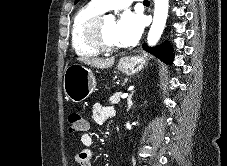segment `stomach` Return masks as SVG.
<instances>
[{"instance_id": "1", "label": "stomach", "mask_w": 227, "mask_h": 166, "mask_svg": "<svg viewBox=\"0 0 227 166\" xmlns=\"http://www.w3.org/2000/svg\"><path fill=\"white\" fill-rule=\"evenodd\" d=\"M148 55L123 57L117 68L125 75H133L146 66ZM63 87L66 97L75 103L84 101L96 87L92 71L79 64L69 65L64 72Z\"/></svg>"}]
</instances>
